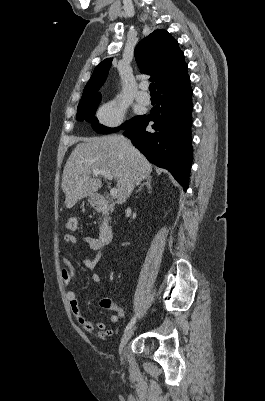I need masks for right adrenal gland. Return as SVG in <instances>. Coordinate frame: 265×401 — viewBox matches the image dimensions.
<instances>
[{"label":"right adrenal gland","instance_id":"obj_1","mask_svg":"<svg viewBox=\"0 0 265 401\" xmlns=\"http://www.w3.org/2000/svg\"><path fill=\"white\" fill-rule=\"evenodd\" d=\"M151 178H152V176H147L146 182H142L141 186H139L138 190H135V192H139V190H142V188H143V186H145V184H146L147 188H149V190H150V188H152Z\"/></svg>","mask_w":265,"mask_h":401}]
</instances>
